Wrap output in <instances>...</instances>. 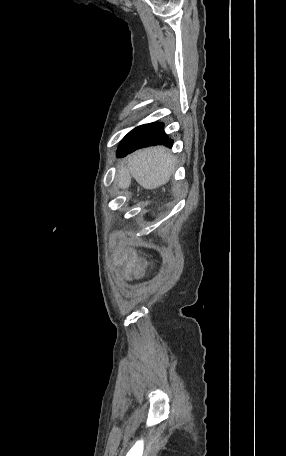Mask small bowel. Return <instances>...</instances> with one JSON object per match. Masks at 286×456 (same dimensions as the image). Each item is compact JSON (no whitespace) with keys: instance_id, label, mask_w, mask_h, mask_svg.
<instances>
[{"instance_id":"obj_1","label":"small bowel","mask_w":286,"mask_h":456,"mask_svg":"<svg viewBox=\"0 0 286 456\" xmlns=\"http://www.w3.org/2000/svg\"><path fill=\"white\" fill-rule=\"evenodd\" d=\"M113 263L117 266H122V274L125 280L132 281L136 276L137 256L134 251L116 252Z\"/></svg>"}]
</instances>
